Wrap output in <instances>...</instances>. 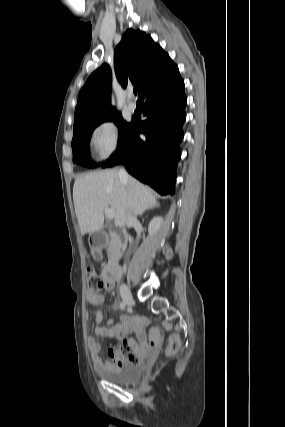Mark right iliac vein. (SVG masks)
<instances>
[{
	"instance_id": "obj_1",
	"label": "right iliac vein",
	"mask_w": 285,
	"mask_h": 427,
	"mask_svg": "<svg viewBox=\"0 0 285 427\" xmlns=\"http://www.w3.org/2000/svg\"><path fill=\"white\" fill-rule=\"evenodd\" d=\"M120 294L127 306H131L133 304V296L126 285H122L120 288Z\"/></svg>"
}]
</instances>
